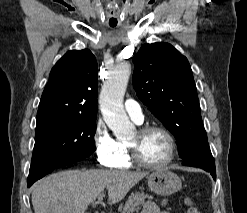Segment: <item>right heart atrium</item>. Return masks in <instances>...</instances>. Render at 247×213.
<instances>
[{
  "mask_svg": "<svg viewBox=\"0 0 247 213\" xmlns=\"http://www.w3.org/2000/svg\"><path fill=\"white\" fill-rule=\"evenodd\" d=\"M92 141L98 163L104 167H115L121 156V148L103 122L96 124Z\"/></svg>",
  "mask_w": 247,
  "mask_h": 213,
  "instance_id": "d8ad5b80",
  "label": "right heart atrium"
}]
</instances>
